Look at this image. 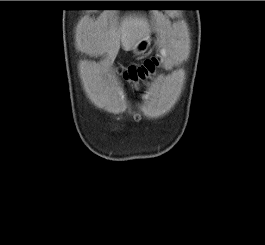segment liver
<instances>
[{
  "label": "liver",
  "instance_id": "1",
  "mask_svg": "<svg viewBox=\"0 0 265 245\" xmlns=\"http://www.w3.org/2000/svg\"><path fill=\"white\" fill-rule=\"evenodd\" d=\"M151 28L146 17L127 15L119 25L107 26L105 18L99 19L86 33L85 48L89 52L106 55L108 61L116 58L120 45L125 51L134 50L143 40L150 37Z\"/></svg>",
  "mask_w": 265,
  "mask_h": 245
}]
</instances>
